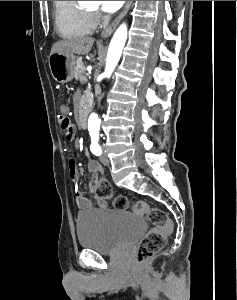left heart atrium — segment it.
Instances as JSON below:
<instances>
[{
  "label": "left heart atrium",
  "mask_w": 237,
  "mask_h": 300,
  "mask_svg": "<svg viewBox=\"0 0 237 300\" xmlns=\"http://www.w3.org/2000/svg\"><path fill=\"white\" fill-rule=\"evenodd\" d=\"M125 1H103L102 10L106 13H114L119 10Z\"/></svg>",
  "instance_id": "39dd6f15"
}]
</instances>
